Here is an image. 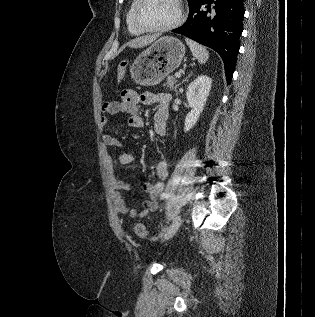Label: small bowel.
<instances>
[{"mask_svg":"<svg viewBox=\"0 0 315 317\" xmlns=\"http://www.w3.org/2000/svg\"><path fill=\"white\" fill-rule=\"evenodd\" d=\"M170 99V95L166 93L144 92L138 94L132 90H125L121 93V99L119 101H111L103 105L101 126L104 128L107 125L108 116L125 113L129 116L128 125L130 127L142 128L144 126V120L139 112L140 105H156L153 115V128L158 136H163L167 128ZM102 140L107 147H122V143L111 134L104 133ZM134 160L135 156L131 153H122L118 156V163L120 165H128ZM109 166L112 171V158H109ZM154 170L155 180L142 185L143 191L148 195V199L143 203L142 210L129 206L123 196L124 192L135 189V185L121 180L113 181L115 201L120 213L128 215L131 218H142L157 211L159 207L158 200L164 190V181L168 177L169 165L166 161L162 160L156 163Z\"/></svg>","mask_w":315,"mask_h":317,"instance_id":"obj_1","label":"small bowel"}]
</instances>
